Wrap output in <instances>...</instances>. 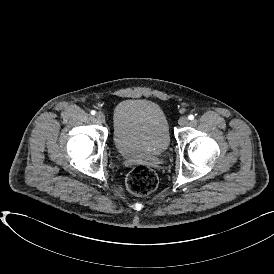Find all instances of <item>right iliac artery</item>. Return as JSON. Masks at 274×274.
<instances>
[{
	"label": "right iliac artery",
	"mask_w": 274,
	"mask_h": 274,
	"mask_svg": "<svg viewBox=\"0 0 274 274\" xmlns=\"http://www.w3.org/2000/svg\"><path fill=\"white\" fill-rule=\"evenodd\" d=\"M91 114H92V115H95V114H96V112H95L94 110H92V111H91Z\"/></svg>",
	"instance_id": "right-iliac-artery-1"
}]
</instances>
